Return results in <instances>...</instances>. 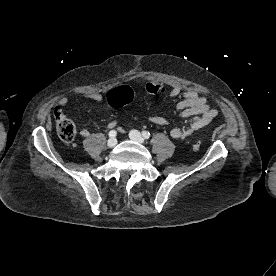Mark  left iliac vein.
<instances>
[{"label":"left iliac vein","instance_id":"left-iliac-vein-1","mask_svg":"<svg viewBox=\"0 0 276 276\" xmlns=\"http://www.w3.org/2000/svg\"><path fill=\"white\" fill-rule=\"evenodd\" d=\"M129 137H130V139L133 140V141H136V142L141 143V144L144 143V138H143V136H142L141 133H140L139 131H137V130H131V131L129 132Z\"/></svg>","mask_w":276,"mask_h":276}]
</instances>
